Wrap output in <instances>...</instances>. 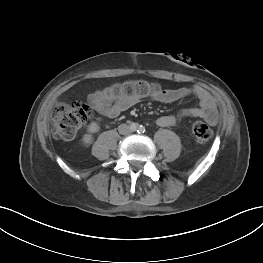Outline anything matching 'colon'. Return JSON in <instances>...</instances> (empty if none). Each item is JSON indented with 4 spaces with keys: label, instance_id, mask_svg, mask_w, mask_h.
I'll return each instance as SVG.
<instances>
[{
    "label": "colon",
    "instance_id": "5ec220e1",
    "mask_svg": "<svg viewBox=\"0 0 263 263\" xmlns=\"http://www.w3.org/2000/svg\"><path fill=\"white\" fill-rule=\"evenodd\" d=\"M160 91L158 84L146 80H129L115 84L106 90L112 97L128 96L135 98L154 96ZM90 117L91 110L85 104L74 102L59 106L53 113V134L59 139H73ZM192 133L199 142H207L212 137L211 128L202 121L193 123Z\"/></svg>",
    "mask_w": 263,
    "mask_h": 263
}]
</instances>
